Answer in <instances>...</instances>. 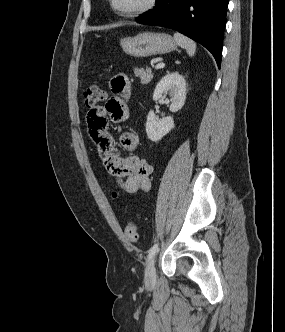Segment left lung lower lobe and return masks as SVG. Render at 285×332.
I'll list each match as a JSON object with an SVG mask.
<instances>
[{"label": "left lung lower lobe", "mask_w": 285, "mask_h": 332, "mask_svg": "<svg viewBox=\"0 0 285 332\" xmlns=\"http://www.w3.org/2000/svg\"><path fill=\"white\" fill-rule=\"evenodd\" d=\"M228 0H161L156 9L136 21L176 30L197 41L221 65Z\"/></svg>", "instance_id": "left-lung-lower-lobe-1"}]
</instances>
